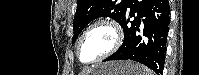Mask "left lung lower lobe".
<instances>
[{"label":"left lung lower lobe","mask_w":199,"mask_h":75,"mask_svg":"<svg viewBox=\"0 0 199 75\" xmlns=\"http://www.w3.org/2000/svg\"><path fill=\"white\" fill-rule=\"evenodd\" d=\"M135 13L137 17L129 23ZM169 14L168 0H130L120 23L124 29L123 44L104 61L130 59L163 75Z\"/></svg>","instance_id":"obj_1"}]
</instances>
